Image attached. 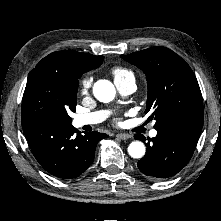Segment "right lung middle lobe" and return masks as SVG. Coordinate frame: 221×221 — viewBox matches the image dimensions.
I'll list each match as a JSON object with an SVG mask.
<instances>
[{"mask_svg": "<svg viewBox=\"0 0 221 221\" xmlns=\"http://www.w3.org/2000/svg\"><path fill=\"white\" fill-rule=\"evenodd\" d=\"M77 86L54 74H29L23 94L21 120H47L71 125L75 112Z\"/></svg>", "mask_w": 221, "mask_h": 221, "instance_id": "obj_1", "label": "right lung middle lobe"}]
</instances>
